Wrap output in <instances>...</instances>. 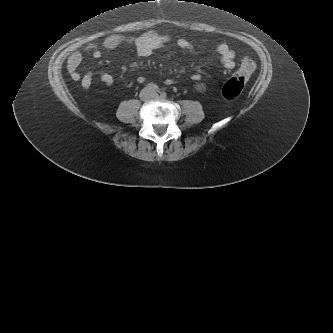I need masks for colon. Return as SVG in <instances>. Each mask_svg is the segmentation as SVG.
I'll return each instance as SVG.
<instances>
[{
  "label": "colon",
  "instance_id": "obj_1",
  "mask_svg": "<svg viewBox=\"0 0 333 333\" xmlns=\"http://www.w3.org/2000/svg\"><path fill=\"white\" fill-rule=\"evenodd\" d=\"M255 67V62L251 58H244L239 71L223 85L222 96L226 99L237 97L242 92L246 80L252 75Z\"/></svg>",
  "mask_w": 333,
  "mask_h": 333
}]
</instances>
